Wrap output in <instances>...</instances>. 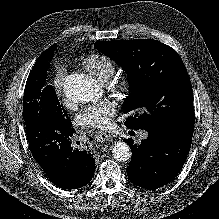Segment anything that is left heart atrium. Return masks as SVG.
Segmentation results:
<instances>
[{
	"label": "left heart atrium",
	"mask_w": 219,
	"mask_h": 219,
	"mask_svg": "<svg viewBox=\"0 0 219 219\" xmlns=\"http://www.w3.org/2000/svg\"><path fill=\"white\" fill-rule=\"evenodd\" d=\"M116 112V104L112 101L105 100L83 109L78 115V121L85 127L106 128Z\"/></svg>",
	"instance_id": "39dd6f15"
}]
</instances>
